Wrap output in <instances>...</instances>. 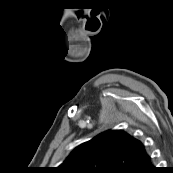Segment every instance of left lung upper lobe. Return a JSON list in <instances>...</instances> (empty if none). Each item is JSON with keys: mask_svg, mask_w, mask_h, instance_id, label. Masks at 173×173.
Wrapping results in <instances>:
<instances>
[{"mask_svg": "<svg viewBox=\"0 0 173 173\" xmlns=\"http://www.w3.org/2000/svg\"><path fill=\"white\" fill-rule=\"evenodd\" d=\"M150 161L144 145L121 130L99 134L78 146L59 173H139Z\"/></svg>", "mask_w": 173, "mask_h": 173, "instance_id": "1", "label": "left lung upper lobe"}]
</instances>
